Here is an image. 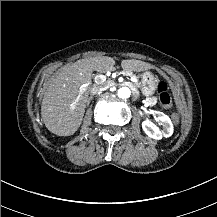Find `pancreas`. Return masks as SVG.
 I'll return each mask as SVG.
<instances>
[{"label":"pancreas","mask_w":217,"mask_h":217,"mask_svg":"<svg viewBox=\"0 0 217 217\" xmlns=\"http://www.w3.org/2000/svg\"><path fill=\"white\" fill-rule=\"evenodd\" d=\"M126 72H127V71H126ZM129 73H130V72H129ZM130 74H132V73H130ZM132 75H133V74H132ZM133 76H134V75H133ZM136 85L139 86V83H137Z\"/></svg>","instance_id":"1"}]
</instances>
